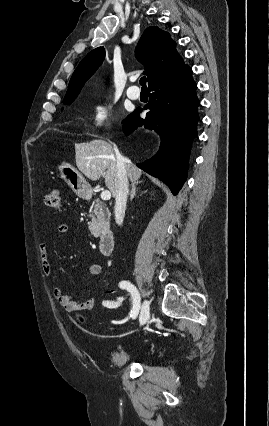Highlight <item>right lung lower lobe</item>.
<instances>
[{"mask_svg": "<svg viewBox=\"0 0 269 426\" xmlns=\"http://www.w3.org/2000/svg\"><path fill=\"white\" fill-rule=\"evenodd\" d=\"M196 89L192 70L185 65L178 72L149 86L152 93L144 109L150 111L145 119L139 117L142 109L138 108L123 122L126 135L142 125L158 133V152L137 165L166 183L173 194H177L184 184L191 143L197 136L199 100Z\"/></svg>", "mask_w": 269, "mask_h": 426, "instance_id": "obj_1", "label": "right lung lower lobe"}]
</instances>
